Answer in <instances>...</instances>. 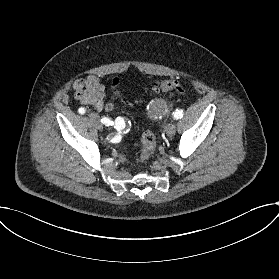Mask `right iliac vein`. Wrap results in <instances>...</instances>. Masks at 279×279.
I'll return each mask as SVG.
<instances>
[{"label": "right iliac vein", "mask_w": 279, "mask_h": 279, "mask_svg": "<svg viewBox=\"0 0 279 279\" xmlns=\"http://www.w3.org/2000/svg\"><path fill=\"white\" fill-rule=\"evenodd\" d=\"M89 116H90L94 121L97 122L98 129H99V130H102L103 127H102V125H101V123H100L98 114H97V113H91Z\"/></svg>", "instance_id": "1"}]
</instances>
